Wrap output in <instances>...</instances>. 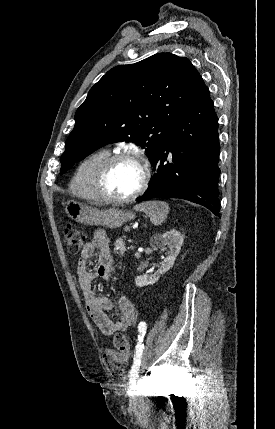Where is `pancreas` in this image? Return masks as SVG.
<instances>
[{"mask_svg":"<svg viewBox=\"0 0 275 429\" xmlns=\"http://www.w3.org/2000/svg\"><path fill=\"white\" fill-rule=\"evenodd\" d=\"M115 248H114V252L115 254H119V255H123L126 251L125 248V242L123 240V238H118L114 244Z\"/></svg>","mask_w":275,"mask_h":429,"instance_id":"cf45deb5","label":"pancreas"}]
</instances>
